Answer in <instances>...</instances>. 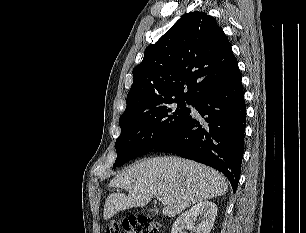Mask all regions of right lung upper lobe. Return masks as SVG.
Listing matches in <instances>:
<instances>
[{"mask_svg":"<svg viewBox=\"0 0 306 233\" xmlns=\"http://www.w3.org/2000/svg\"><path fill=\"white\" fill-rule=\"evenodd\" d=\"M238 73L231 45L216 20L205 12H190L145 50L133 69L122 115L165 99L196 103Z\"/></svg>","mask_w":306,"mask_h":233,"instance_id":"1","label":"right lung upper lobe"}]
</instances>
